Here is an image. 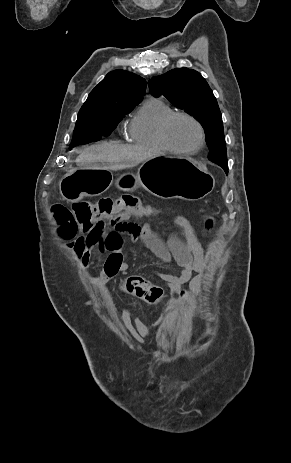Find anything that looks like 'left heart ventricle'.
<instances>
[{
	"instance_id": "left-heart-ventricle-1",
	"label": "left heart ventricle",
	"mask_w": 291,
	"mask_h": 463,
	"mask_svg": "<svg viewBox=\"0 0 291 463\" xmlns=\"http://www.w3.org/2000/svg\"><path fill=\"white\" fill-rule=\"evenodd\" d=\"M169 138L179 148L189 149L197 145L199 130L186 118H176L169 127Z\"/></svg>"
}]
</instances>
